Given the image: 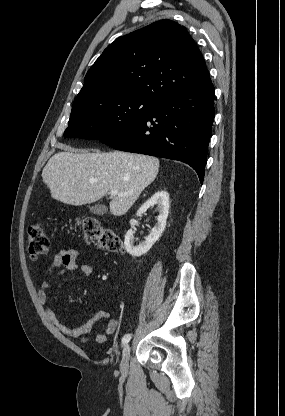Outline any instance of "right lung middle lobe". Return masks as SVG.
I'll use <instances>...</instances> for the list:
<instances>
[{
	"instance_id": "1",
	"label": "right lung middle lobe",
	"mask_w": 285,
	"mask_h": 416,
	"mask_svg": "<svg viewBox=\"0 0 285 416\" xmlns=\"http://www.w3.org/2000/svg\"><path fill=\"white\" fill-rule=\"evenodd\" d=\"M158 104L140 97H126L71 112L64 136L102 140L145 117Z\"/></svg>"
}]
</instances>
